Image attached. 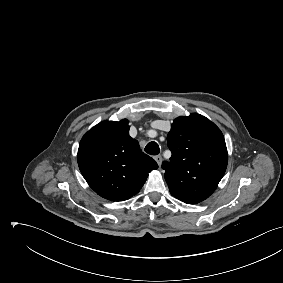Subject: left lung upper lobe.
<instances>
[{
    "label": "left lung upper lobe",
    "instance_id": "1",
    "mask_svg": "<svg viewBox=\"0 0 283 283\" xmlns=\"http://www.w3.org/2000/svg\"><path fill=\"white\" fill-rule=\"evenodd\" d=\"M167 141L172 156L162 168L171 195L187 204L204 201L226 171L228 153L222 132L194 113L174 120Z\"/></svg>",
    "mask_w": 283,
    "mask_h": 283
}]
</instances>
